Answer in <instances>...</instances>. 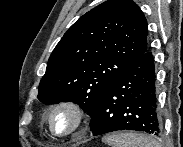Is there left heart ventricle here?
<instances>
[{"label": "left heart ventricle", "mask_w": 183, "mask_h": 147, "mask_svg": "<svg viewBox=\"0 0 183 147\" xmlns=\"http://www.w3.org/2000/svg\"><path fill=\"white\" fill-rule=\"evenodd\" d=\"M75 117L70 111L62 109L52 116V126L56 133L64 134L69 132L75 126Z\"/></svg>", "instance_id": "1"}]
</instances>
